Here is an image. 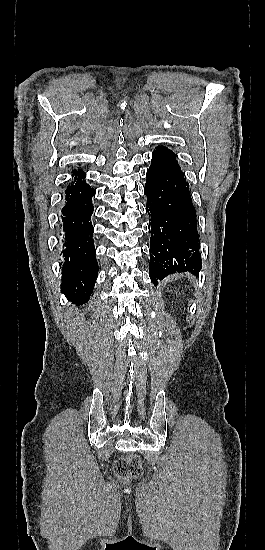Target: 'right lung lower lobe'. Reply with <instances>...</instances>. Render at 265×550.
<instances>
[{"label": "right lung lower lobe", "instance_id": "98d812e1", "mask_svg": "<svg viewBox=\"0 0 265 550\" xmlns=\"http://www.w3.org/2000/svg\"><path fill=\"white\" fill-rule=\"evenodd\" d=\"M75 183L65 191L62 208L64 238L61 291L74 303L88 301L98 275V263L93 245L92 189L82 178L81 170H74Z\"/></svg>", "mask_w": 265, "mask_h": 550}]
</instances>
